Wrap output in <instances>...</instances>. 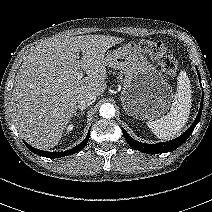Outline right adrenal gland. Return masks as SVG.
<instances>
[{"mask_svg":"<svg viewBox=\"0 0 212 212\" xmlns=\"http://www.w3.org/2000/svg\"><path fill=\"white\" fill-rule=\"evenodd\" d=\"M78 109H80L81 114H84V110H86L87 107L78 105V106L75 108V112H74V115H75V116L77 115V110H78Z\"/></svg>","mask_w":212,"mask_h":212,"instance_id":"2a0ac1e0","label":"right adrenal gland"}]
</instances>
